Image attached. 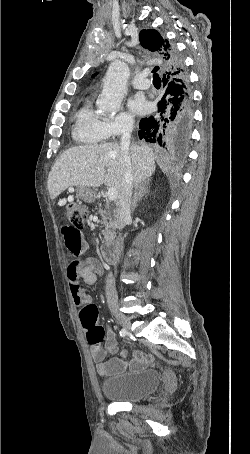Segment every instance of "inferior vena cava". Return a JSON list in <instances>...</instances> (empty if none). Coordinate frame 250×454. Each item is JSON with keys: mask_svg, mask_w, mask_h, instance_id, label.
Segmentation results:
<instances>
[{"mask_svg": "<svg viewBox=\"0 0 250 454\" xmlns=\"http://www.w3.org/2000/svg\"><path fill=\"white\" fill-rule=\"evenodd\" d=\"M133 125H128L122 132L120 148L122 153L123 162V179H122V192L116 204V227L122 230L126 222L130 219V207L132 200V189H133V176L131 170V159L129 155L130 150V138ZM106 297L109 306L117 304V292L112 278V274H109L106 279Z\"/></svg>", "mask_w": 250, "mask_h": 454, "instance_id": "inferior-vena-cava-1", "label": "inferior vena cava"}]
</instances>
